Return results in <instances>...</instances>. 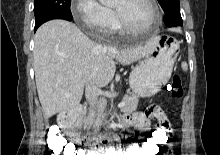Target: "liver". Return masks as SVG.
Here are the masks:
<instances>
[{"mask_svg":"<svg viewBox=\"0 0 220 155\" xmlns=\"http://www.w3.org/2000/svg\"><path fill=\"white\" fill-rule=\"evenodd\" d=\"M34 41L35 80L45 118L79 105L85 86H107L114 77L116 61L131 64L150 54L156 45L154 41L118 51L95 43L65 20L41 25Z\"/></svg>","mask_w":220,"mask_h":155,"instance_id":"1","label":"liver"}]
</instances>
